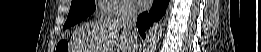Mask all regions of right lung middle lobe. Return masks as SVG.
<instances>
[{"label": "right lung middle lobe", "mask_w": 261, "mask_h": 52, "mask_svg": "<svg viewBox=\"0 0 261 52\" xmlns=\"http://www.w3.org/2000/svg\"><path fill=\"white\" fill-rule=\"evenodd\" d=\"M95 11V0H72L64 29L84 20Z\"/></svg>", "instance_id": "right-lung-middle-lobe-1"}]
</instances>
